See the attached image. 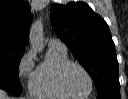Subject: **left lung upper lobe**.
I'll return each mask as SVG.
<instances>
[{
  "instance_id": "1",
  "label": "left lung upper lobe",
  "mask_w": 128,
  "mask_h": 99,
  "mask_svg": "<svg viewBox=\"0 0 128 99\" xmlns=\"http://www.w3.org/2000/svg\"><path fill=\"white\" fill-rule=\"evenodd\" d=\"M50 15L55 32L90 74L97 93L119 84L115 45L107 23L83 2L55 4Z\"/></svg>"
}]
</instances>
